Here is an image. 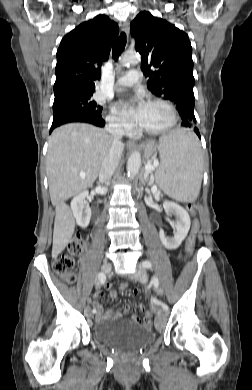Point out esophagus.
Listing matches in <instances>:
<instances>
[{
	"label": "esophagus",
	"instance_id": "34e87169",
	"mask_svg": "<svg viewBox=\"0 0 252 390\" xmlns=\"http://www.w3.org/2000/svg\"><path fill=\"white\" fill-rule=\"evenodd\" d=\"M122 31L128 35L129 33V23L128 21H124L121 25ZM127 147L133 148L135 147V143L132 141L127 142Z\"/></svg>",
	"mask_w": 252,
	"mask_h": 390
}]
</instances>
